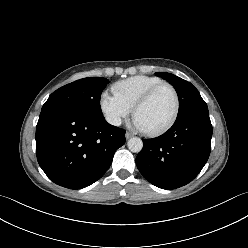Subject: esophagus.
<instances>
[{"mask_svg":"<svg viewBox=\"0 0 248 248\" xmlns=\"http://www.w3.org/2000/svg\"><path fill=\"white\" fill-rule=\"evenodd\" d=\"M132 136H133V134L130 133V132H126V134H125L126 139H129V138H131Z\"/></svg>","mask_w":248,"mask_h":248,"instance_id":"1","label":"esophagus"}]
</instances>
